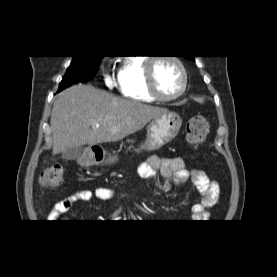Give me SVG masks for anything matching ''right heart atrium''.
Segmentation results:
<instances>
[{
    "label": "right heart atrium",
    "mask_w": 277,
    "mask_h": 277,
    "mask_svg": "<svg viewBox=\"0 0 277 277\" xmlns=\"http://www.w3.org/2000/svg\"><path fill=\"white\" fill-rule=\"evenodd\" d=\"M103 80L107 87H113L116 84L115 77L107 73H104Z\"/></svg>",
    "instance_id": "1"
}]
</instances>
